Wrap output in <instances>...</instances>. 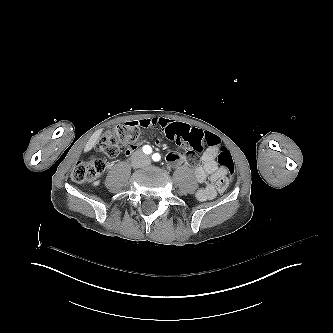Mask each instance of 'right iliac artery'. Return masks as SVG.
Here are the masks:
<instances>
[{
	"instance_id": "1",
	"label": "right iliac artery",
	"mask_w": 333,
	"mask_h": 333,
	"mask_svg": "<svg viewBox=\"0 0 333 333\" xmlns=\"http://www.w3.org/2000/svg\"><path fill=\"white\" fill-rule=\"evenodd\" d=\"M143 152L146 154H150L152 152V149L149 145L143 146Z\"/></svg>"
}]
</instances>
